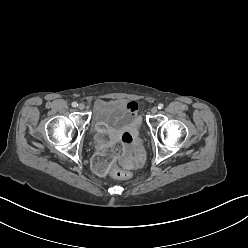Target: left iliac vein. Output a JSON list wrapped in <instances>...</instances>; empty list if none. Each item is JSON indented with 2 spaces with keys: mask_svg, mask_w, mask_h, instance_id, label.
<instances>
[{
  "mask_svg": "<svg viewBox=\"0 0 248 248\" xmlns=\"http://www.w3.org/2000/svg\"><path fill=\"white\" fill-rule=\"evenodd\" d=\"M157 111H158V108L156 106H154V107L151 108V113L152 114H156Z\"/></svg>",
  "mask_w": 248,
  "mask_h": 248,
  "instance_id": "4c4485c4",
  "label": "left iliac vein"
}]
</instances>
